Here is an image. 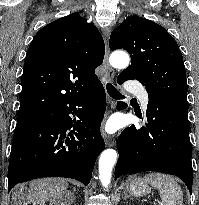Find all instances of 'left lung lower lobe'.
Instances as JSON below:
<instances>
[{
	"mask_svg": "<svg viewBox=\"0 0 199 205\" xmlns=\"http://www.w3.org/2000/svg\"><path fill=\"white\" fill-rule=\"evenodd\" d=\"M133 77H118L122 84ZM127 107L117 103V109ZM146 127L131 125L118 138L119 159L115 180L125 174L157 171L179 177L192 193V146L189 138L188 108L149 96Z\"/></svg>",
	"mask_w": 199,
	"mask_h": 205,
	"instance_id": "obj_1",
	"label": "left lung lower lobe"
}]
</instances>
